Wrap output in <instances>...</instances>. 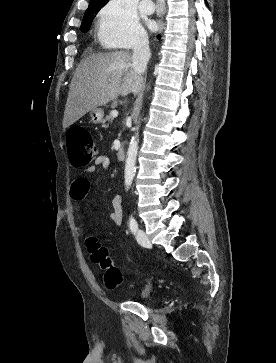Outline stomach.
Returning <instances> with one entry per match:
<instances>
[{"mask_svg":"<svg viewBox=\"0 0 276 363\" xmlns=\"http://www.w3.org/2000/svg\"><path fill=\"white\" fill-rule=\"evenodd\" d=\"M104 111L101 108H95L90 111V119L94 124H99L103 121Z\"/></svg>","mask_w":276,"mask_h":363,"instance_id":"obj_1","label":"stomach"}]
</instances>
